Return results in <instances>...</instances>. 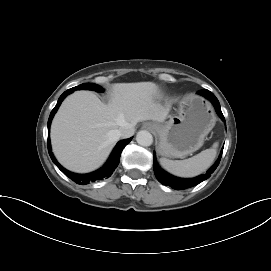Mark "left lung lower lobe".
Returning a JSON list of instances; mask_svg holds the SVG:
<instances>
[{"mask_svg": "<svg viewBox=\"0 0 271 271\" xmlns=\"http://www.w3.org/2000/svg\"><path fill=\"white\" fill-rule=\"evenodd\" d=\"M198 94H201L204 97H206L207 99H209L213 103L218 115L221 117V119L223 121H225V118H224V116L222 114V111H221V108H220L219 101L215 97V95L212 92H210L209 90H206V89L198 91ZM222 152H223V149L221 151V154H220L219 158L215 162V164L205 174H202V175H200L198 177L191 178V179H181V178H177V177H174V176L166 173L164 170H162L158 166L157 161H156L155 152H153V156H154V165H153L154 173H155V176H156L157 180L163 185H168V186L172 187L173 189H177V190L190 188V187H193V186L201 183L202 181H204V180H206L207 178L210 177V174L213 173L215 171V169L217 168V166L219 165V162H220V159H221V156H222Z\"/></svg>", "mask_w": 271, "mask_h": 271, "instance_id": "obj_1", "label": "left lung lower lobe"}]
</instances>
